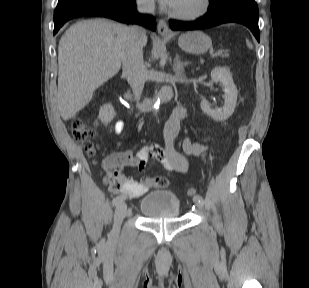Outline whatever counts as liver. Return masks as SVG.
<instances>
[{
  "label": "liver",
  "mask_w": 309,
  "mask_h": 288,
  "mask_svg": "<svg viewBox=\"0 0 309 288\" xmlns=\"http://www.w3.org/2000/svg\"><path fill=\"white\" fill-rule=\"evenodd\" d=\"M127 26L105 19L72 25L58 47L57 105L69 120L92 99L95 90L116 75L128 44ZM147 43L144 38L143 46Z\"/></svg>",
  "instance_id": "liver-1"
}]
</instances>
